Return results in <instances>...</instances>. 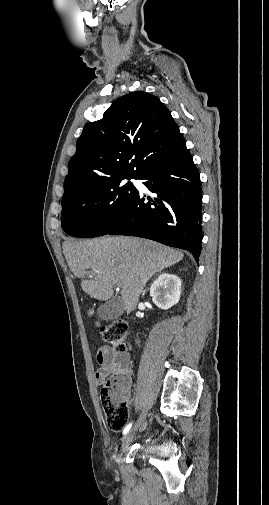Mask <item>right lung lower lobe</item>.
<instances>
[{
	"instance_id": "98d812e1",
	"label": "right lung lower lobe",
	"mask_w": 269,
	"mask_h": 505,
	"mask_svg": "<svg viewBox=\"0 0 269 505\" xmlns=\"http://www.w3.org/2000/svg\"><path fill=\"white\" fill-rule=\"evenodd\" d=\"M155 197L138 192L107 234L143 237L188 250L198 262L202 242L200 174L186 145L160 158L138 177Z\"/></svg>"
}]
</instances>
